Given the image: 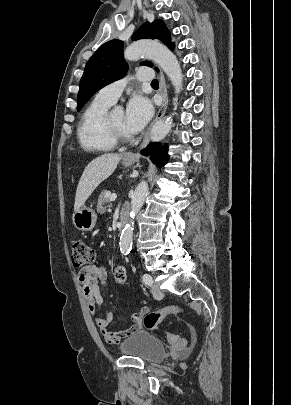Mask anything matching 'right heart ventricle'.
I'll return each mask as SVG.
<instances>
[{
  "label": "right heart ventricle",
  "mask_w": 291,
  "mask_h": 405,
  "mask_svg": "<svg viewBox=\"0 0 291 405\" xmlns=\"http://www.w3.org/2000/svg\"><path fill=\"white\" fill-rule=\"evenodd\" d=\"M112 104L95 97L84 110L77 128L80 146L88 152L112 151L116 144L106 129V117Z\"/></svg>",
  "instance_id": "obj_1"
}]
</instances>
